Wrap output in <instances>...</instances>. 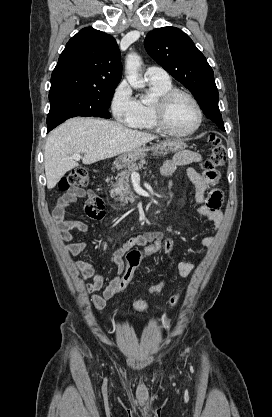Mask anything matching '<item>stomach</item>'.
Returning a JSON list of instances; mask_svg holds the SVG:
<instances>
[{
  "instance_id": "obj_1",
  "label": "stomach",
  "mask_w": 272,
  "mask_h": 417,
  "mask_svg": "<svg viewBox=\"0 0 272 417\" xmlns=\"http://www.w3.org/2000/svg\"><path fill=\"white\" fill-rule=\"evenodd\" d=\"M184 147L185 144L180 141H160L150 147L144 144L132 151L121 154L114 161V165L116 168L120 169L135 163L138 159H143L147 156L149 151H152L153 155L156 156H165L169 152L178 151Z\"/></svg>"
}]
</instances>
